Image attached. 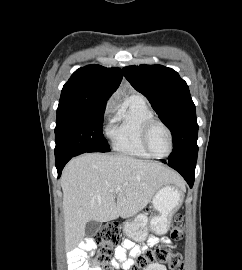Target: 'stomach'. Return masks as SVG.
<instances>
[{
	"label": "stomach",
	"instance_id": "1",
	"mask_svg": "<svg viewBox=\"0 0 242 270\" xmlns=\"http://www.w3.org/2000/svg\"><path fill=\"white\" fill-rule=\"evenodd\" d=\"M183 188L167 184L162 186L153 197V207L157 215L148 220L144 214H139L135 218L124 223V233L136 242H143L151 229L157 235H164L170 228L173 215L178 211L183 203Z\"/></svg>",
	"mask_w": 242,
	"mask_h": 270
}]
</instances>
